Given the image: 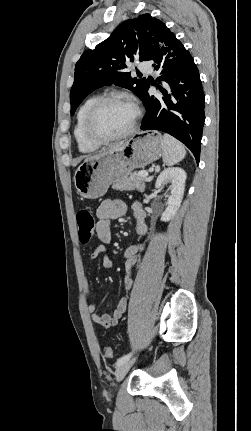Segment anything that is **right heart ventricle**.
<instances>
[{
	"label": "right heart ventricle",
	"instance_id": "1",
	"mask_svg": "<svg viewBox=\"0 0 251 431\" xmlns=\"http://www.w3.org/2000/svg\"><path fill=\"white\" fill-rule=\"evenodd\" d=\"M98 99L97 96H91L87 98L79 107L76 122L74 126V138L77 143V147L81 153L87 154L96 151L100 145L92 143L87 139L84 133V119L87 111L92 104Z\"/></svg>",
	"mask_w": 251,
	"mask_h": 431
}]
</instances>
